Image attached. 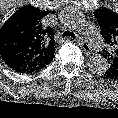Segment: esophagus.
I'll list each match as a JSON object with an SVG mask.
<instances>
[{
  "instance_id": "obj_1",
  "label": "esophagus",
  "mask_w": 118,
  "mask_h": 118,
  "mask_svg": "<svg viewBox=\"0 0 118 118\" xmlns=\"http://www.w3.org/2000/svg\"><path fill=\"white\" fill-rule=\"evenodd\" d=\"M78 44L80 45L81 49L86 53V54H90L92 52L91 46L89 44H87L84 41L78 40L77 41Z\"/></svg>"
}]
</instances>
